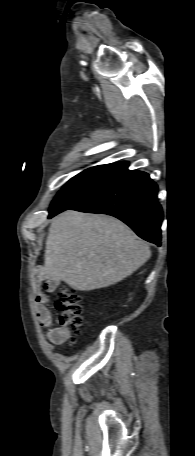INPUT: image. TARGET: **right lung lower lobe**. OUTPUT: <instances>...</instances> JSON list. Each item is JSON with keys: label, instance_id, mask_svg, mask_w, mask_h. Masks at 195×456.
Segmentation results:
<instances>
[{"label": "right lung lower lobe", "instance_id": "98d812e1", "mask_svg": "<svg viewBox=\"0 0 195 456\" xmlns=\"http://www.w3.org/2000/svg\"><path fill=\"white\" fill-rule=\"evenodd\" d=\"M157 191L156 183L147 173L126 169L106 187L70 209L114 216L141 238L159 246L163 212L156 199Z\"/></svg>", "mask_w": 195, "mask_h": 456}]
</instances>
